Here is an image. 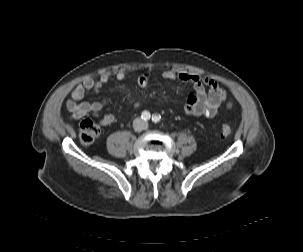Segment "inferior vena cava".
I'll use <instances>...</instances> for the list:
<instances>
[{
  "label": "inferior vena cava",
  "instance_id": "1",
  "mask_svg": "<svg viewBox=\"0 0 303 252\" xmlns=\"http://www.w3.org/2000/svg\"><path fill=\"white\" fill-rule=\"evenodd\" d=\"M133 127L136 130H143L145 128V122L143 120H141L140 118H136L133 121Z\"/></svg>",
  "mask_w": 303,
  "mask_h": 252
}]
</instances>
